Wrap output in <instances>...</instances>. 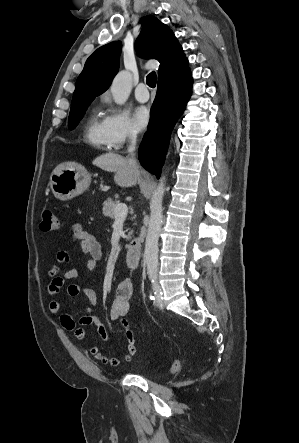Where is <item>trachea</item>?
Returning a JSON list of instances; mask_svg holds the SVG:
<instances>
[{"label": "trachea", "mask_w": 299, "mask_h": 443, "mask_svg": "<svg viewBox=\"0 0 299 443\" xmlns=\"http://www.w3.org/2000/svg\"><path fill=\"white\" fill-rule=\"evenodd\" d=\"M156 82H157V76L156 73L153 71L147 75L146 83L149 87L154 88L156 86Z\"/></svg>", "instance_id": "3493384b"}]
</instances>
